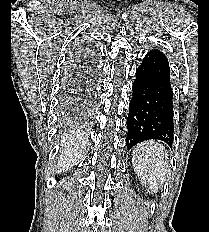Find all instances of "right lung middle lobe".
<instances>
[{"instance_id": "right-lung-middle-lobe-1", "label": "right lung middle lobe", "mask_w": 209, "mask_h": 232, "mask_svg": "<svg viewBox=\"0 0 209 232\" xmlns=\"http://www.w3.org/2000/svg\"><path fill=\"white\" fill-rule=\"evenodd\" d=\"M68 78L69 83L66 84L65 89L61 94L60 111L62 118V128L80 126L82 121L84 120V112H82L81 106L79 104L80 101L78 100L79 96L73 93L72 88L74 87L71 86L74 82V78H76L75 74L70 75V77Z\"/></svg>"}]
</instances>
